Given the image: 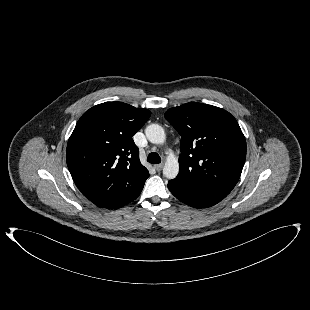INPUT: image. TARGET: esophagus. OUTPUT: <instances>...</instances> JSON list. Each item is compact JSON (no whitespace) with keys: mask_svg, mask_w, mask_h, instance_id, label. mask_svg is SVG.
I'll return each instance as SVG.
<instances>
[{"mask_svg":"<svg viewBox=\"0 0 310 310\" xmlns=\"http://www.w3.org/2000/svg\"><path fill=\"white\" fill-rule=\"evenodd\" d=\"M163 164H157L154 166V168L156 169V171L160 172L163 169Z\"/></svg>","mask_w":310,"mask_h":310,"instance_id":"esophagus-1","label":"esophagus"}]
</instances>
